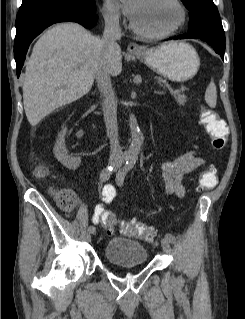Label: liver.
Segmentation results:
<instances>
[{
    "label": "liver",
    "instance_id": "6515ba94",
    "mask_svg": "<svg viewBox=\"0 0 245 319\" xmlns=\"http://www.w3.org/2000/svg\"><path fill=\"white\" fill-rule=\"evenodd\" d=\"M107 60L109 75L122 71L121 51L106 59L102 40L77 23L57 24L35 43L26 65L23 102L36 126L55 109L87 94L97 69Z\"/></svg>",
    "mask_w": 245,
    "mask_h": 319
}]
</instances>
